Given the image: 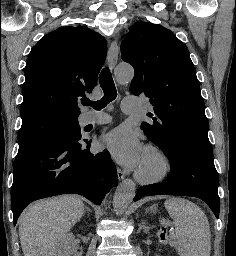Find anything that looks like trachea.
<instances>
[{"label": "trachea", "instance_id": "obj_1", "mask_svg": "<svg viewBox=\"0 0 236 256\" xmlns=\"http://www.w3.org/2000/svg\"><path fill=\"white\" fill-rule=\"evenodd\" d=\"M99 83L104 92V96L100 101H90L88 99L82 100V105H91L95 110H101L108 103L115 100L117 97V90L108 68H104L99 76Z\"/></svg>", "mask_w": 236, "mask_h": 256}]
</instances>
